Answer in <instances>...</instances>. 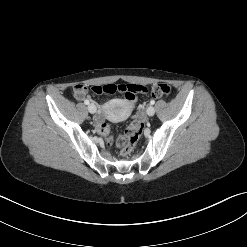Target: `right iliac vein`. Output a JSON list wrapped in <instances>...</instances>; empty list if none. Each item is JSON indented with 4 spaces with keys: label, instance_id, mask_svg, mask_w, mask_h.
Masks as SVG:
<instances>
[{
    "label": "right iliac vein",
    "instance_id": "right-iliac-vein-1",
    "mask_svg": "<svg viewBox=\"0 0 247 247\" xmlns=\"http://www.w3.org/2000/svg\"><path fill=\"white\" fill-rule=\"evenodd\" d=\"M88 111L90 113L94 114L96 112V106L93 103L89 104L88 105Z\"/></svg>",
    "mask_w": 247,
    "mask_h": 247
}]
</instances>
